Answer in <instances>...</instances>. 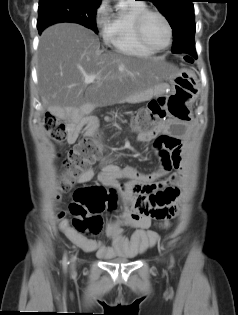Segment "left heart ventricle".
I'll return each instance as SVG.
<instances>
[{"mask_svg":"<svg viewBox=\"0 0 238 315\" xmlns=\"http://www.w3.org/2000/svg\"><path fill=\"white\" fill-rule=\"evenodd\" d=\"M144 35L146 40L155 47H163L168 41V31L163 20L150 15L144 23Z\"/></svg>","mask_w":238,"mask_h":315,"instance_id":"left-heart-ventricle-1","label":"left heart ventricle"}]
</instances>
